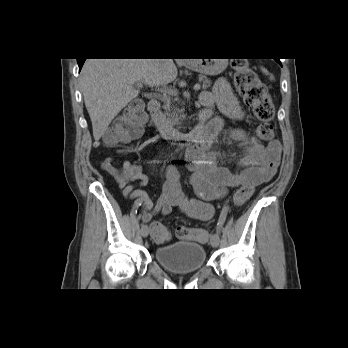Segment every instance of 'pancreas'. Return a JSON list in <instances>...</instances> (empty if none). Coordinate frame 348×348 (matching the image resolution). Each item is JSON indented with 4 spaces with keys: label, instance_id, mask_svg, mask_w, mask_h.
Listing matches in <instances>:
<instances>
[{
    "label": "pancreas",
    "instance_id": "cf45deb5",
    "mask_svg": "<svg viewBox=\"0 0 348 348\" xmlns=\"http://www.w3.org/2000/svg\"><path fill=\"white\" fill-rule=\"evenodd\" d=\"M199 80L203 82L202 88L204 90L208 89L211 86V81L206 76L200 75ZM163 109V115L166 119V122L171 126H178V128H181L186 115L184 114V108L180 107L179 100L171 99L170 97L166 98Z\"/></svg>",
    "mask_w": 348,
    "mask_h": 348
}]
</instances>
